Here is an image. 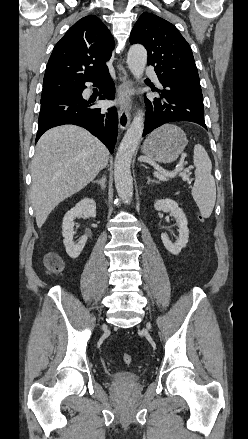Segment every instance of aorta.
<instances>
[{"label":"aorta","instance_id":"aorta-1","mask_svg":"<svg viewBox=\"0 0 248 439\" xmlns=\"http://www.w3.org/2000/svg\"><path fill=\"white\" fill-rule=\"evenodd\" d=\"M147 63V51L140 45H132L128 51L127 64L133 76L140 80ZM144 114L138 112L127 129L115 157L114 181L118 196L128 204L133 197V179L131 161L133 154L142 137L144 129Z\"/></svg>","mask_w":248,"mask_h":439}]
</instances>
